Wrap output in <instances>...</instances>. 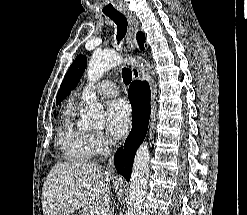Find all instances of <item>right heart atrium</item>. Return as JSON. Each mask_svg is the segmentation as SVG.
I'll return each instance as SVG.
<instances>
[{"mask_svg":"<svg viewBox=\"0 0 247 215\" xmlns=\"http://www.w3.org/2000/svg\"><path fill=\"white\" fill-rule=\"evenodd\" d=\"M92 143L95 153L100 155L105 154L110 146V140L103 132L92 133Z\"/></svg>","mask_w":247,"mask_h":215,"instance_id":"right-heart-atrium-1","label":"right heart atrium"}]
</instances>
